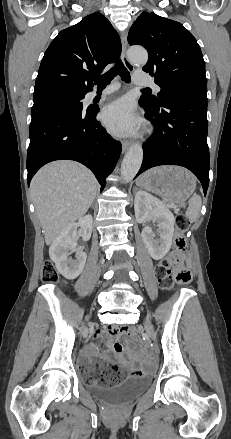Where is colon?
I'll list each match as a JSON object with an SVG mask.
<instances>
[{"label": "colon", "instance_id": "obj_1", "mask_svg": "<svg viewBox=\"0 0 231 439\" xmlns=\"http://www.w3.org/2000/svg\"><path fill=\"white\" fill-rule=\"evenodd\" d=\"M189 227L186 216L179 214L176 218V234L174 238V254L170 258L162 260L156 268V276L166 290H170L175 284H188L191 280V272L185 266L187 258L186 241L184 233ZM42 281L46 284H54L59 280L58 274L50 262H46L42 269ZM117 332L132 334L133 329L129 326L116 328ZM126 370L120 366H112L101 371L98 383L102 386H111L119 383L125 376Z\"/></svg>", "mask_w": 231, "mask_h": 439}]
</instances>
